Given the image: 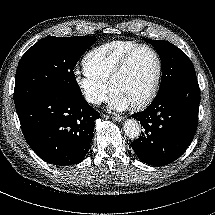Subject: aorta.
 Segmentation results:
<instances>
[{
  "label": "aorta",
  "mask_w": 215,
  "mask_h": 215,
  "mask_svg": "<svg viewBox=\"0 0 215 215\" xmlns=\"http://www.w3.org/2000/svg\"><path fill=\"white\" fill-rule=\"evenodd\" d=\"M124 131L130 139L138 138L141 132L140 123L135 119H128L124 123Z\"/></svg>",
  "instance_id": "obj_1"
}]
</instances>
